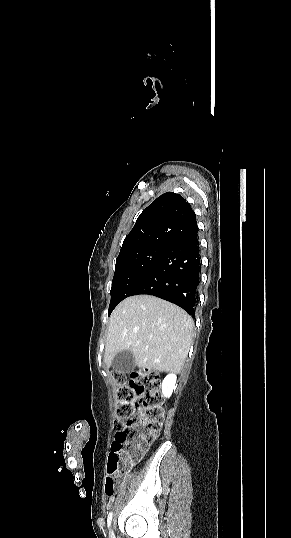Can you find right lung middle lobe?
Wrapping results in <instances>:
<instances>
[{
	"mask_svg": "<svg viewBox=\"0 0 291 538\" xmlns=\"http://www.w3.org/2000/svg\"><path fill=\"white\" fill-rule=\"evenodd\" d=\"M169 250L167 246L149 245L118 255L110 291L109 315L119 302L130 296L136 285Z\"/></svg>",
	"mask_w": 291,
	"mask_h": 538,
	"instance_id": "1",
	"label": "right lung middle lobe"
}]
</instances>
